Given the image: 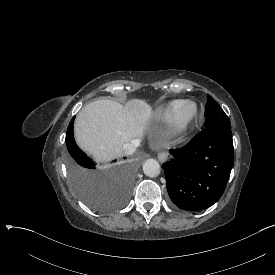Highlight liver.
Wrapping results in <instances>:
<instances>
[{"label": "liver", "instance_id": "1", "mask_svg": "<svg viewBox=\"0 0 275 275\" xmlns=\"http://www.w3.org/2000/svg\"><path fill=\"white\" fill-rule=\"evenodd\" d=\"M153 106L132 98L124 104L101 99L81 109L74 122V139L86 151L98 171L109 169L125 156L122 146L137 145L147 135Z\"/></svg>", "mask_w": 275, "mask_h": 275}]
</instances>
